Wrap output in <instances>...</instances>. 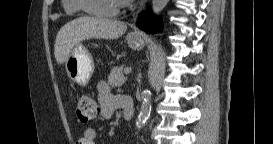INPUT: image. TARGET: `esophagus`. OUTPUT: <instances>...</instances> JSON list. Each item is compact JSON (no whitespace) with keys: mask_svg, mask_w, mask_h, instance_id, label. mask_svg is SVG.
<instances>
[{"mask_svg":"<svg viewBox=\"0 0 273 144\" xmlns=\"http://www.w3.org/2000/svg\"><path fill=\"white\" fill-rule=\"evenodd\" d=\"M146 2H147L146 0H142V1L140 2V6H139V9H138V12L141 11V10L144 8ZM138 12H137V13H138ZM137 13H136V15H134V19L136 18Z\"/></svg>","mask_w":273,"mask_h":144,"instance_id":"1","label":"esophagus"}]
</instances>
